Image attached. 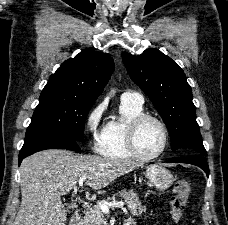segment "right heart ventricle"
<instances>
[{"mask_svg":"<svg viewBox=\"0 0 228 225\" xmlns=\"http://www.w3.org/2000/svg\"><path fill=\"white\" fill-rule=\"evenodd\" d=\"M120 112L122 117L119 120H113L106 125L97 143V150L109 158H135L128 146L127 129L134 117L144 113L143 106L121 102Z\"/></svg>","mask_w":228,"mask_h":225,"instance_id":"obj_1","label":"right heart ventricle"}]
</instances>
